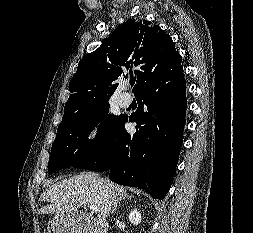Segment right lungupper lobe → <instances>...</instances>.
<instances>
[{
	"label": "right lung upper lobe",
	"instance_id": "right-lung-upper-lobe-1",
	"mask_svg": "<svg viewBox=\"0 0 253 233\" xmlns=\"http://www.w3.org/2000/svg\"><path fill=\"white\" fill-rule=\"evenodd\" d=\"M172 38L147 20H128L94 52L82 58L72 77L63 118L106 102L118 81L135 74V95L148 82L181 65Z\"/></svg>",
	"mask_w": 253,
	"mask_h": 233
}]
</instances>
